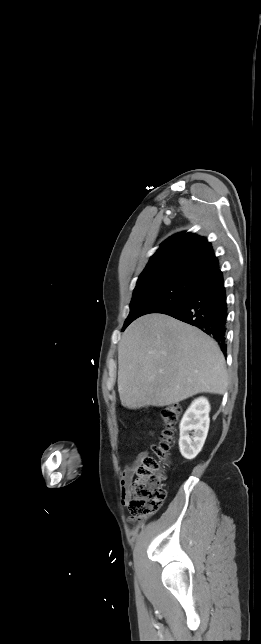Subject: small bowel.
I'll return each instance as SVG.
<instances>
[{
	"mask_svg": "<svg viewBox=\"0 0 261 644\" xmlns=\"http://www.w3.org/2000/svg\"><path fill=\"white\" fill-rule=\"evenodd\" d=\"M146 455L147 454L145 452L140 453L135 459V461L125 466L122 471V486H123L122 503L125 505L128 504L129 502L127 487L129 486L130 482L134 478L138 465L146 457Z\"/></svg>",
	"mask_w": 261,
	"mask_h": 644,
	"instance_id": "obj_1",
	"label": "small bowel"
}]
</instances>
